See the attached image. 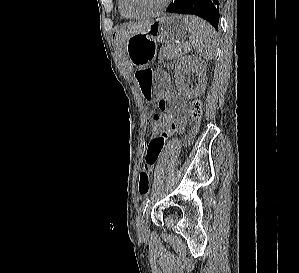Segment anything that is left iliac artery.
I'll list each match as a JSON object with an SVG mask.
<instances>
[{
  "label": "left iliac artery",
  "mask_w": 299,
  "mask_h": 273,
  "mask_svg": "<svg viewBox=\"0 0 299 273\" xmlns=\"http://www.w3.org/2000/svg\"><path fill=\"white\" fill-rule=\"evenodd\" d=\"M149 202H150V198H146V199L142 202L141 207H140V209H139V211H140L141 213H144V212L146 211V208L148 207Z\"/></svg>",
  "instance_id": "obj_1"
}]
</instances>
